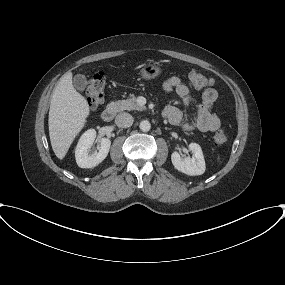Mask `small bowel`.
<instances>
[{"label": "small bowel", "mask_w": 285, "mask_h": 285, "mask_svg": "<svg viewBox=\"0 0 285 285\" xmlns=\"http://www.w3.org/2000/svg\"><path fill=\"white\" fill-rule=\"evenodd\" d=\"M163 89L166 93L176 92L186 106L193 104L190 87L179 77L168 78L163 84ZM217 97L218 93L214 88L205 89L201 102L195 107L194 118L191 122L186 121L183 112L174 105H168L163 111V116L172 125L185 130L215 132L220 128V119L212 112Z\"/></svg>", "instance_id": "obj_1"}]
</instances>
